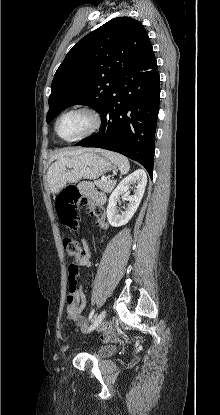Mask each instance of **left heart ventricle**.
Returning <instances> with one entry per match:
<instances>
[{
	"label": "left heart ventricle",
	"instance_id": "obj_1",
	"mask_svg": "<svg viewBox=\"0 0 220 415\" xmlns=\"http://www.w3.org/2000/svg\"><path fill=\"white\" fill-rule=\"evenodd\" d=\"M92 125L91 117L82 112L65 115L58 124V133L64 139L75 138L86 132Z\"/></svg>",
	"mask_w": 220,
	"mask_h": 415
}]
</instances>
